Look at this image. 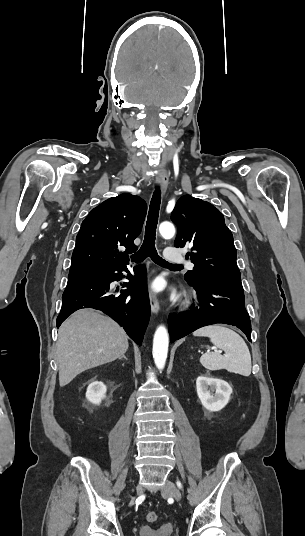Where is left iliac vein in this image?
<instances>
[{
	"mask_svg": "<svg viewBox=\"0 0 305 536\" xmlns=\"http://www.w3.org/2000/svg\"><path fill=\"white\" fill-rule=\"evenodd\" d=\"M161 492L166 496H170L176 500H181L180 490L170 480H166L165 485L161 488Z\"/></svg>",
	"mask_w": 305,
	"mask_h": 536,
	"instance_id": "obj_1",
	"label": "left iliac vein"
}]
</instances>
